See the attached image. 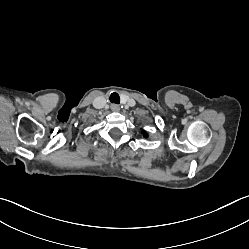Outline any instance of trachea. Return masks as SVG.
<instances>
[{
  "instance_id": "3493384b",
  "label": "trachea",
  "mask_w": 249,
  "mask_h": 249,
  "mask_svg": "<svg viewBox=\"0 0 249 249\" xmlns=\"http://www.w3.org/2000/svg\"><path fill=\"white\" fill-rule=\"evenodd\" d=\"M110 101H111L112 103L119 104V103H120V97H119V95H118L116 92H113V93L110 95Z\"/></svg>"
}]
</instances>
